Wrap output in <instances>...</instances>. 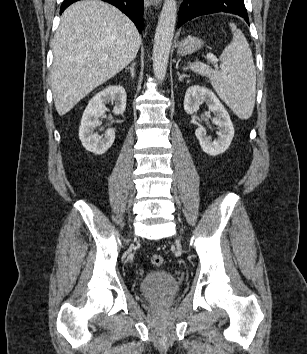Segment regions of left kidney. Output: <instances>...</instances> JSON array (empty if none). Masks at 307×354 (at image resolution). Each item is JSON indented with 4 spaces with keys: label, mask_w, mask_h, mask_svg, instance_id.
I'll list each match as a JSON object with an SVG mask.
<instances>
[{
    "label": "left kidney",
    "mask_w": 307,
    "mask_h": 354,
    "mask_svg": "<svg viewBox=\"0 0 307 354\" xmlns=\"http://www.w3.org/2000/svg\"><path fill=\"white\" fill-rule=\"evenodd\" d=\"M203 102L206 103L209 111L214 114L212 123L218 127L217 139L212 141L201 125L196 129L195 135L205 153L217 156L224 153L230 146L234 137V127L227 110L211 90L199 85L187 89L184 98V110L187 114L196 113L200 103Z\"/></svg>",
    "instance_id": "1"
}]
</instances>
